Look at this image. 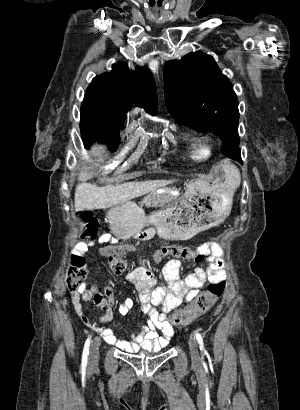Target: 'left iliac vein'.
<instances>
[{
	"mask_svg": "<svg viewBox=\"0 0 300 410\" xmlns=\"http://www.w3.org/2000/svg\"><path fill=\"white\" fill-rule=\"evenodd\" d=\"M188 344L190 349L191 360L193 364L198 365L200 363V355L196 338L191 335L189 337Z\"/></svg>",
	"mask_w": 300,
	"mask_h": 410,
	"instance_id": "4c4485c4",
	"label": "left iliac vein"
}]
</instances>
